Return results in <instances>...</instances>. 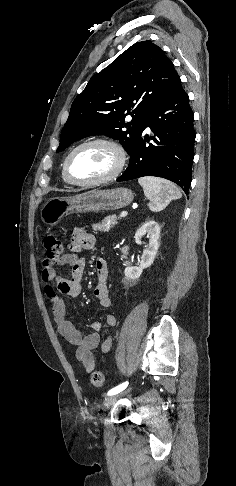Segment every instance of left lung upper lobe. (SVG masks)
I'll use <instances>...</instances> for the list:
<instances>
[{"label":"left lung upper lobe","instance_id":"left-lung-upper-lobe-1","mask_svg":"<svg viewBox=\"0 0 236 486\" xmlns=\"http://www.w3.org/2000/svg\"><path fill=\"white\" fill-rule=\"evenodd\" d=\"M179 79L173 63L151 41L137 42L95 74L72 103L57 153L92 135L120 140L130 154L152 106ZM131 115V122H126ZM125 128H127L125 130Z\"/></svg>","mask_w":236,"mask_h":486}]
</instances>
